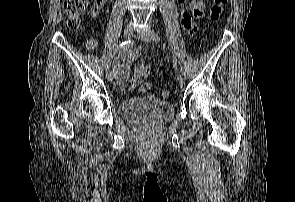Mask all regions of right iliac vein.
<instances>
[{"mask_svg":"<svg viewBox=\"0 0 295 202\" xmlns=\"http://www.w3.org/2000/svg\"><path fill=\"white\" fill-rule=\"evenodd\" d=\"M135 31V28L133 27V25H128L125 30H124V38L128 39L130 37H132L133 33ZM106 77L109 81H113L115 78V73L113 70L108 69L106 72Z\"/></svg>","mask_w":295,"mask_h":202,"instance_id":"63e3f726","label":"right iliac vein"}]
</instances>
